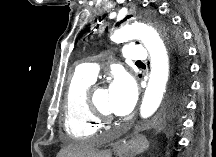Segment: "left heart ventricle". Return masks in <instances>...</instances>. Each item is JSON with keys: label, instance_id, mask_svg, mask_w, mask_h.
I'll return each instance as SVG.
<instances>
[{"label": "left heart ventricle", "instance_id": "obj_1", "mask_svg": "<svg viewBox=\"0 0 216 157\" xmlns=\"http://www.w3.org/2000/svg\"><path fill=\"white\" fill-rule=\"evenodd\" d=\"M97 106L105 112L111 114L108 108V90L106 88H98L94 95Z\"/></svg>", "mask_w": 216, "mask_h": 157}]
</instances>
